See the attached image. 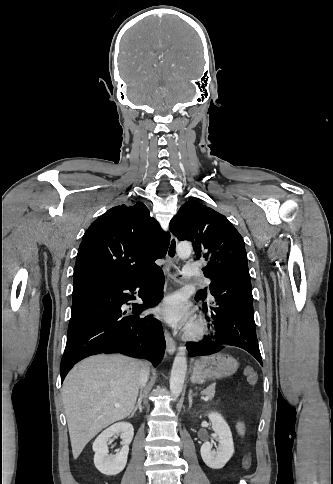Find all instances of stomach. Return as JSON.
Masks as SVG:
<instances>
[{"label": "stomach", "instance_id": "1", "mask_svg": "<svg viewBox=\"0 0 333 484\" xmlns=\"http://www.w3.org/2000/svg\"><path fill=\"white\" fill-rule=\"evenodd\" d=\"M238 369V362L225 353L197 358L193 362L191 382L203 384L206 381L230 376Z\"/></svg>", "mask_w": 333, "mask_h": 484}]
</instances>
